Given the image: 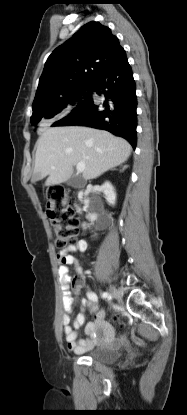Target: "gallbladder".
Wrapping results in <instances>:
<instances>
[{
  "label": "gallbladder",
  "mask_w": 187,
  "mask_h": 415,
  "mask_svg": "<svg viewBox=\"0 0 187 415\" xmlns=\"http://www.w3.org/2000/svg\"><path fill=\"white\" fill-rule=\"evenodd\" d=\"M66 183H67L68 186H71V187H74V188H80V187L84 186L85 181L79 176H73V177L69 178L66 181Z\"/></svg>",
  "instance_id": "bac80fb5"
}]
</instances>
